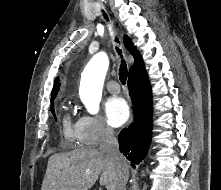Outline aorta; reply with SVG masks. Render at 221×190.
Masks as SVG:
<instances>
[{"mask_svg": "<svg viewBox=\"0 0 221 190\" xmlns=\"http://www.w3.org/2000/svg\"><path fill=\"white\" fill-rule=\"evenodd\" d=\"M109 67L106 53L100 52L86 65L80 82L79 95L90 114H97L100 107L104 79Z\"/></svg>", "mask_w": 221, "mask_h": 190, "instance_id": "762f6f07", "label": "aorta"}]
</instances>
